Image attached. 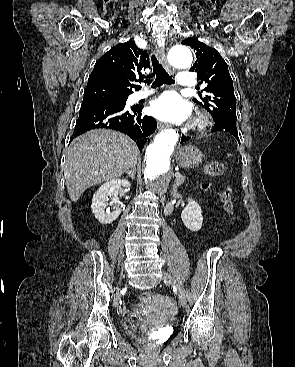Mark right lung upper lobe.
Instances as JSON below:
<instances>
[{"instance_id":"obj_1","label":"right lung upper lobe","mask_w":295,"mask_h":367,"mask_svg":"<svg viewBox=\"0 0 295 367\" xmlns=\"http://www.w3.org/2000/svg\"><path fill=\"white\" fill-rule=\"evenodd\" d=\"M149 67V54L146 50L139 49L131 40L120 43L111 48L95 64L86 89L104 88L129 96L132 88L139 89L136 83L146 78L141 70ZM147 81L146 79L144 82Z\"/></svg>"}]
</instances>
